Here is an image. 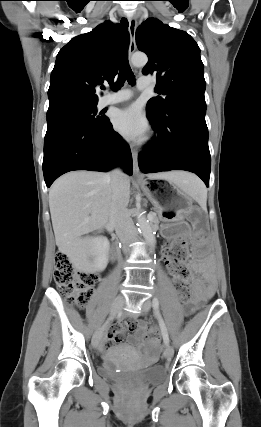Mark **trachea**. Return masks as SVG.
Wrapping results in <instances>:
<instances>
[{
	"label": "trachea",
	"mask_w": 261,
	"mask_h": 427,
	"mask_svg": "<svg viewBox=\"0 0 261 427\" xmlns=\"http://www.w3.org/2000/svg\"><path fill=\"white\" fill-rule=\"evenodd\" d=\"M125 20H122V23H124ZM128 81L130 84L135 83V76L130 68L128 56L125 55L124 58L121 61L120 70L118 74V79L113 85L114 90H119L123 85L125 81Z\"/></svg>",
	"instance_id": "3493384b"
}]
</instances>
